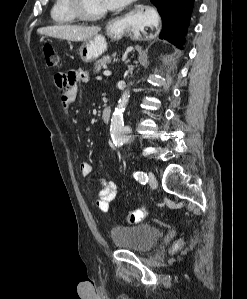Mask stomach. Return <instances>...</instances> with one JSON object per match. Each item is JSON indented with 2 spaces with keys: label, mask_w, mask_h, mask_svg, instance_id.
<instances>
[{
  "label": "stomach",
  "mask_w": 247,
  "mask_h": 299,
  "mask_svg": "<svg viewBox=\"0 0 247 299\" xmlns=\"http://www.w3.org/2000/svg\"><path fill=\"white\" fill-rule=\"evenodd\" d=\"M107 35L112 40H118L127 31L125 20H118L109 23L106 27ZM107 49V42L104 36L97 35L84 41L79 48V55L83 62L91 63L100 57Z\"/></svg>",
  "instance_id": "0dacf381"
}]
</instances>
